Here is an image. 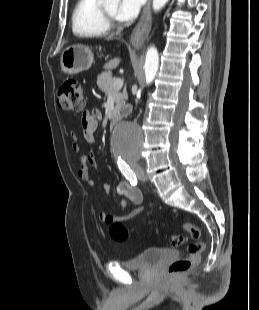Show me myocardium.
Wrapping results in <instances>:
<instances>
[{"label": "myocardium", "instance_id": "1", "mask_svg": "<svg viewBox=\"0 0 259 310\" xmlns=\"http://www.w3.org/2000/svg\"><path fill=\"white\" fill-rule=\"evenodd\" d=\"M99 13L107 27H111L116 24V18L109 15L102 4L99 5Z\"/></svg>", "mask_w": 259, "mask_h": 310}]
</instances>
